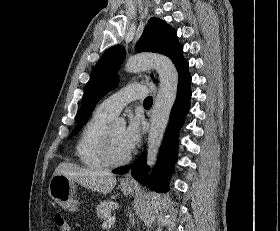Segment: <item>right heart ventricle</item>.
Instances as JSON below:
<instances>
[{"label":"right heart ventricle","instance_id":"1","mask_svg":"<svg viewBox=\"0 0 280 231\" xmlns=\"http://www.w3.org/2000/svg\"><path fill=\"white\" fill-rule=\"evenodd\" d=\"M112 118L96 110L84 125L75 144V155L82 167L94 170L108 167L100 153V140Z\"/></svg>","mask_w":280,"mask_h":231}]
</instances>
